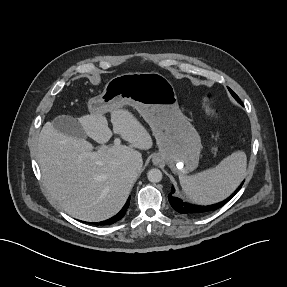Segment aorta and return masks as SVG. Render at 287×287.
I'll return each instance as SVG.
<instances>
[{"mask_svg": "<svg viewBox=\"0 0 287 287\" xmlns=\"http://www.w3.org/2000/svg\"><path fill=\"white\" fill-rule=\"evenodd\" d=\"M162 172L159 169H151L147 173L148 180L152 183H158L162 180Z\"/></svg>", "mask_w": 287, "mask_h": 287, "instance_id": "1", "label": "aorta"}]
</instances>
